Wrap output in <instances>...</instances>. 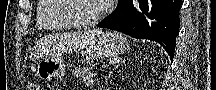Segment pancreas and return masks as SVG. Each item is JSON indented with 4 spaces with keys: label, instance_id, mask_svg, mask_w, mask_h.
<instances>
[{
    "label": "pancreas",
    "instance_id": "cf45deb5",
    "mask_svg": "<svg viewBox=\"0 0 216 90\" xmlns=\"http://www.w3.org/2000/svg\"><path fill=\"white\" fill-rule=\"evenodd\" d=\"M75 76L79 78V80H82L84 84H89L88 80L95 78V74L91 72L90 68H77Z\"/></svg>",
    "mask_w": 216,
    "mask_h": 90
}]
</instances>
